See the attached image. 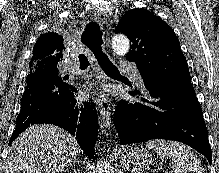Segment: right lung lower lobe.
Here are the masks:
<instances>
[{"instance_id": "1", "label": "right lung lower lobe", "mask_w": 219, "mask_h": 173, "mask_svg": "<svg viewBox=\"0 0 219 173\" xmlns=\"http://www.w3.org/2000/svg\"><path fill=\"white\" fill-rule=\"evenodd\" d=\"M76 96V88L62 77L51 72L30 73L9 145L30 125L54 124L76 136L81 149L92 159L98 133L96 108L91 100L79 103Z\"/></svg>"}]
</instances>
